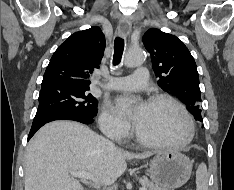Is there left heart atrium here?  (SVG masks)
<instances>
[{"label":"left heart atrium","mask_w":234,"mask_h":190,"mask_svg":"<svg viewBox=\"0 0 234 190\" xmlns=\"http://www.w3.org/2000/svg\"><path fill=\"white\" fill-rule=\"evenodd\" d=\"M130 102V99L128 97H121L117 100V107L119 109V111L123 112L125 111V109L127 108L128 104ZM146 104L145 103H141L134 115V120L136 121L139 114L143 111V109L145 108Z\"/></svg>","instance_id":"1"}]
</instances>
